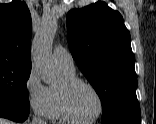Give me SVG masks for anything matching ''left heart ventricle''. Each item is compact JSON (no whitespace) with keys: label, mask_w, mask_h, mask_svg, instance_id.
Segmentation results:
<instances>
[{"label":"left heart ventricle","mask_w":156,"mask_h":124,"mask_svg":"<svg viewBox=\"0 0 156 124\" xmlns=\"http://www.w3.org/2000/svg\"><path fill=\"white\" fill-rule=\"evenodd\" d=\"M69 102L74 113L82 119L94 117L99 110L97 96L85 85H77L71 89Z\"/></svg>","instance_id":"1"}]
</instances>
